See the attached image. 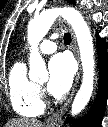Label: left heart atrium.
I'll return each mask as SVG.
<instances>
[{
  "label": "left heart atrium",
  "mask_w": 108,
  "mask_h": 127,
  "mask_svg": "<svg viewBox=\"0 0 108 127\" xmlns=\"http://www.w3.org/2000/svg\"><path fill=\"white\" fill-rule=\"evenodd\" d=\"M75 66L71 57L65 53L55 55L49 62L47 88L53 95L65 94L73 81Z\"/></svg>",
  "instance_id": "39dd6f15"
}]
</instances>
